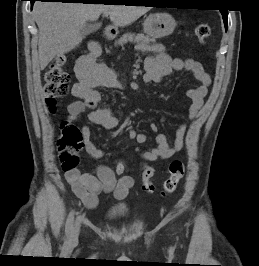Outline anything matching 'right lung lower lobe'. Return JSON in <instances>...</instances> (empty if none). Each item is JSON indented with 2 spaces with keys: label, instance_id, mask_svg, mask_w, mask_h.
<instances>
[{
  "label": "right lung lower lobe",
  "instance_id": "right-lung-lower-lobe-1",
  "mask_svg": "<svg viewBox=\"0 0 259 266\" xmlns=\"http://www.w3.org/2000/svg\"><path fill=\"white\" fill-rule=\"evenodd\" d=\"M29 1H31V6H33V4H34L35 1H42V2L52 1V2H62V3H65V2H72V1H77V0H29ZM79 1H82V3L86 4V3H91V2L101 3V1H103V0H79Z\"/></svg>",
  "mask_w": 259,
  "mask_h": 266
}]
</instances>
